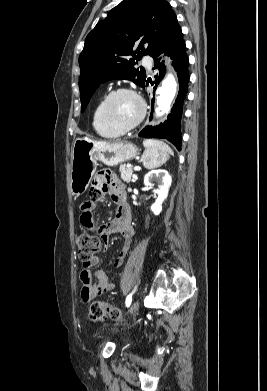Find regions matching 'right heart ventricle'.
Instances as JSON below:
<instances>
[{
  "label": "right heart ventricle",
  "mask_w": 267,
  "mask_h": 391,
  "mask_svg": "<svg viewBox=\"0 0 267 391\" xmlns=\"http://www.w3.org/2000/svg\"><path fill=\"white\" fill-rule=\"evenodd\" d=\"M103 98L98 101L96 104L93 115H92V125L96 133L105 138H115L120 136L121 132L111 129L103 120L101 115V106Z\"/></svg>",
  "instance_id": "e07e8e85"
}]
</instances>
